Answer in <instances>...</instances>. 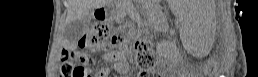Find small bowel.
Returning a JSON list of instances; mask_svg holds the SVG:
<instances>
[{"label":"small bowel","instance_id":"obj_1","mask_svg":"<svg viewBox=\"0 0 258 77\" xmlns=\"http://www.w3.org/2000/svg\"><path fill=\"white\" fill-rule=\"evenodd\" d=\"M121 57V53L116 52V53H110L107 54L106 60L113 65V69L117 72L121 71L123 68V63L119 60Z\"/></svg>","mask_w":258,"mask_h":77}]
</instances>
